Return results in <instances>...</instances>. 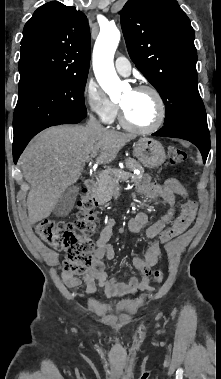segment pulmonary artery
Segmentation results:
<instances>
[{
	"mask_svg": "<svg viewBox=\"0 0 221 379\" xmlns=\"http://www.w3.org/2000/svg\"><path fill=\"white\" fill-rule=\"evenodd\" d=\"M116 71L122 76H128L131 73V64L126 57L120 56L115 61Z\"/></svg>",
	"mask_w": 221,
	"mask_h": 379,
	"instance_id": "pulmonary-artery-1",
	"label": "pulmonary artery"
}]
</instances>
